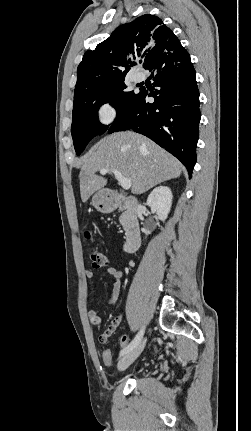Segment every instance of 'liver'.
Masks as SVG:
<instances>
[{
  "mask_svg": "<svg viewBox=\"0 0 251 431\" xmlns=\"http://www.w3.org/2000/svg\"><path fill=\"white\" fill-rule=\"evenodd\" d=\"M103 168L130 178L133 194H142L182 172L181 163L152 140L132 131L117 132L101 139L84 156L79 176L82 202L107 184L106 178L96 175Z\"/></svg>",
  "mask_w": 251,
  "mask_h": 431,
  "instance_id": "obj_1",
  "label": "liver"
}]
</instances>
